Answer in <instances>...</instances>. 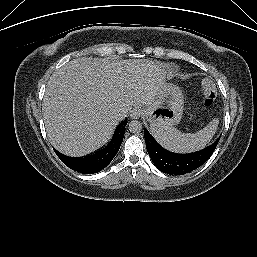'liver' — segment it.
Instances as JSON below:
<instances>
[{
	"label": "liver",
	"instance_id": "liver-1",
	"mask_svg": "<svg viewBox=\"0 0 257 257\" xmlns=\"http://www.w3.org/2000/svg\"><path fill=\"white\" fill-rule=\"evenodd\" d=\"M165 67L148 59L81 57L50 77L43 119L51 144L80 157L105 145L132 106H150L165 83Z\"/></svg>",
	"mask_w": 257,
	"mask_h": 257
}]
</instances>
